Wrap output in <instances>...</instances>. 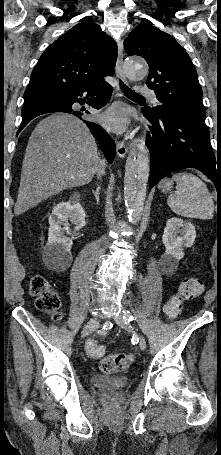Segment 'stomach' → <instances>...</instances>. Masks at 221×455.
Listing matches in <instances>:
<instances>
[{"mask_svg": "<svg viewBox=\"0 0 221 455\" xmlns=\"http://www.w3.org/2000/svg\"><path fill=\"white\" fill-rule=\"evenodd\" d=\"M158 187L162 192H168L173 187V181H171L170 179H164L160 182Z\"/></svg>", "mask_w": 221, "mask_h": 455, "instance_id": "stomach-1", "label": "stomach"}]
</instances>
